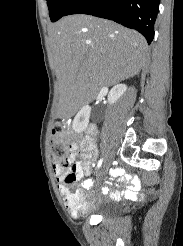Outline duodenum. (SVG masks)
<instances>
[{
  "label": "duodenum",
  "instance_id": "1",
  "mask_svg": "<svg viewBox=\"0 0 183 246\" xmlns=\"http://www.w3.org/2000/svg\"><path fill=\"white\" fill-rule=\"evenodd\" d=\"M88 133H90V134H93L94 133V128L92 126H90L88 128Z\"/></svg>",
  "mask_w": 183,
  "mask_h": 246
}]
</instances>
